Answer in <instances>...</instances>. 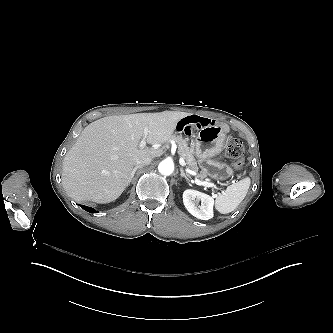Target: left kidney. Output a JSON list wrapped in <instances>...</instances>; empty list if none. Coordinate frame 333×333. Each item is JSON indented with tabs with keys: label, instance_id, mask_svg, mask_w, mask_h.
I'll return each instance as SVG.
<instances>
[{
	"label": "left kidney",
	"instance_id": "1",
	"mask_svg": "<svg viewBox=\"0 0 333 333\" xmlns=\"http://www.w3.org/2000/svg\"><path fill=\"white\" fill-rule=\"evenodd\" d=\"M183 203L186 209L198 219L209 220L213 216V199L206 194L186 190L183 194Z\"/></svg>",
	"mask_w": 333,
	"mask_h": 333
}]
</instances>
